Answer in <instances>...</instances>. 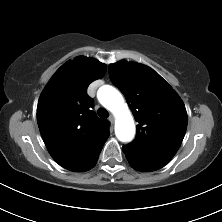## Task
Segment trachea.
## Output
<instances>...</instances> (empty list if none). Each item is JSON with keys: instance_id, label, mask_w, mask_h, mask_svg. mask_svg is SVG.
Here are the masks:
<instances>
[{"instance_id": "trachea-1", "label": "trachea", "mask_w": 222, "mask_h": 222, "mask_svg": "<svg viewBox=\"0 0 222 222\" xmlns=\"http://www.w3.org/2000/svg\"><path fill=\"white\" fill-rule=\"evenodd\" d=\"M97 113L101 118H108L109 117L108 111L104 108H99Z\"/></svg>"}]
</instances>
